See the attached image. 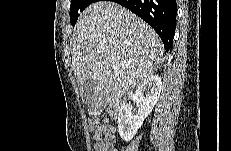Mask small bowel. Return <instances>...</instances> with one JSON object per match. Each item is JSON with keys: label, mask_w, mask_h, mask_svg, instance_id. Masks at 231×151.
<instances>
[{"label": "small bowel", "mask_w": 231, "mask_h": 151, "mask_svg": "<svg viewBox=\"0 0 231 151\" xmlns=\"http://www.w3.org/2000/svg\"><path fill=\"white\" fill-rule=\"evenodd\" d=\"M108 140L104 139L101 130L102 127L99 125V121L96 118H92L90 120V131L94 134V138L96 140L95 151H111L114 144L115 139L113 135V129L108 127Z\"/></svg>", "instance_id": "c3829d8e"}]
</instances>
